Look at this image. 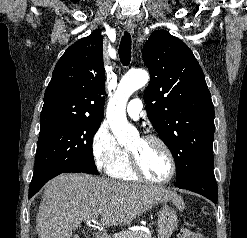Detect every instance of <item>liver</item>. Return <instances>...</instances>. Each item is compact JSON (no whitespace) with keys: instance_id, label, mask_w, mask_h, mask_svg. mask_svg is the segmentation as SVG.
<instances>
[{"instance_id":"liver-1","label":"liver","mask_w":247,"mask_h":238,"mask_svg":"<svg viewBox=\"0 0 247 238\" xmlns=\"http://www.w3.org/2000/svg\"><path fill=\"white\" fill-rule=\"evenodd\" d=\"M165 201L182 203L179 195L160 186L123 183L82 173L62 174L45 185L36 218L38 237L71 238L82 221L95 219L99 214L102 225H126L137 214Z\"/></svg>"}]
</instances>
